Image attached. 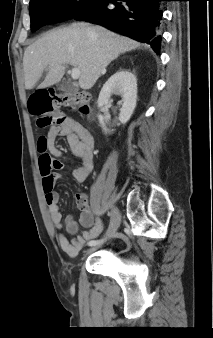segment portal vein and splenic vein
Instances as JSON below:
<instances>
[{"instance_id":"portal-vein-and-splenic-vein-1","label":"portal vein and splenic vein","mask_w":213,"mask_h":338,"mask_svg":"<svg viewBox=\"0 0 213 338\" xmlns=\"http://www.w3.org/2000/svg\"><path fill=\"white\" fill-rule=\"evenodd\" d=\"M71 77L74 80L78 79L80 77V70L78 68H72Z\"/></svg>"}]
</instances>
